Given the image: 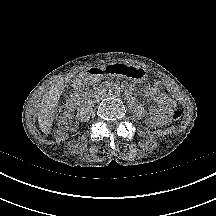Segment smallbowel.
<instances>
[{
    "label": "small bowel",
    "mask_w": 216,
    "mask_h": 216,
    "mask_svg": "<svg viewBox=\"0 0 216 216\" xmlns=\"http://www.w3.org/2000/svg\"><path fill=\"white\" fill-rule=\"evenodd\" d=\"M142 90L149 99L156 103L150 109L147 124L149 126L164 124L176 107L175 101L161 90L160 82L146 84L142 87Z\"/></svg>",
    "instance_id": "1"
}]
</instances>
